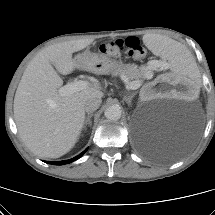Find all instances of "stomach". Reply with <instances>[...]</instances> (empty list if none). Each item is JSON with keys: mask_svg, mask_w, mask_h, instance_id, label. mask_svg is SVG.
Returning a JSON list of instances; mask_svg holds the SVG:
<instances>
[{"mask_svg": "<svg viewBox=\"0 0 215 215\" xmlns=\"http://www.w3.org/2000/svg\"><path fill=\"white\" fill-rule=\"evenodd\" d=\"M75 59L80 64V68L95 74H112L123 66L120 62L109 58L105 54L92 53L89 50L78 54Z\"/></svg>", "mask_w": 215, "mask_h": 215, "instance_id": "obj_1", "label": "stomach"}]
</instances>
